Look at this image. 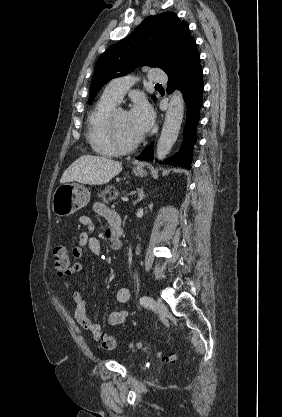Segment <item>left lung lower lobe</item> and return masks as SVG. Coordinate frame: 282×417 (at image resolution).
Here are the masks:
<instances>
[{
  "label": "left lung lower lobe",
  "mask_w": 282,
  "mask_h": 417,
  "mask_svg": "<svg viewBox=\"0 0 282 417\" xmlns=\"http://www.w3.org/2000/svg\"><path fill=\"white\" fill-rule=\"evenodd\" d=\"M166 74L169 77L167 91L171 93L175 88L182 91L187 106V116L181 152L172 158H168L164 163L190 169L192 148L197 138L196 127L199 122V111L202 106V92L204 88L200 55L195 40L190 41L177 54ZM153 154L152 143L136 159L153 161Z\"/></svg>",
  "instance_id": "1"
}]
</instances>
